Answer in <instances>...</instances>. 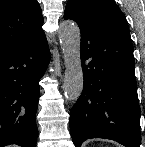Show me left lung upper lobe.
Masks as SVG:
<instances>
[{"label": "left lung upper lobe", "mask_w": 145, "mask_h": 147, "mask_svg": "<svg viewBox=\"0 0 145 147\" xmlns=\"http://www.w3.org/2000/svg\"><path fill=\"white\" fill-rule=\"evenodd\" d=\"M72 10L86 16L111 17L126 21L124 14L114 0H69L65 13Z\"/></svg>", "instance_id": "obj_1"}]
</instances>
